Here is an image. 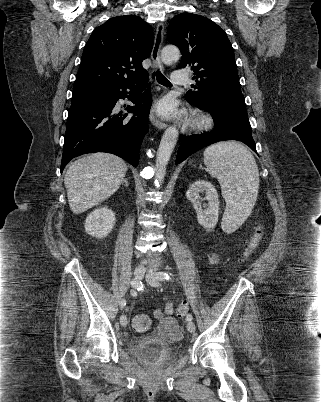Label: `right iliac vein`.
I'll list each match as a JSON object with an SVG mask.
<instances>
[{
    "mask_svg": "<svg viewBox=\"0 0 321 402\" xmlns=\"http://www.w3.org/2000/svg\"><path fill=\"white\" fill-rule=\"evenodd\" d=\"M144 274H145V268L142 266H139L134 270V277L137 281H140L143 278ZM120 323L123 327L127 326L128 321L125 315L121 316Z\"/></svg>",
    "mask_w": 321,
    "mask_h": 402,
    "instance_id": "1",
    "label": "right iliac vein"
}]
</instances>
